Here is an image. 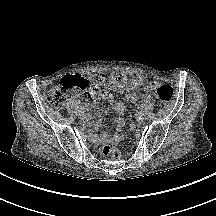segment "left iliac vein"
Wrapping results in <instances>:
<instances>
[{"mask_svg":"<svg viewBox=\"0 0 216 216\" xmlns=\"http://www.w3.org/2000/svg\"><path fill=\"white\" fill-rule=\"evenodd\" d=\"M144 117H145V114L143 113V112H140L139 113V120H142V119H144Z\"/></svg>","mask_w":216,"mask_h":216,"instance_id":"4c4485c4","label":"left iliac vein"}]
</instances>
